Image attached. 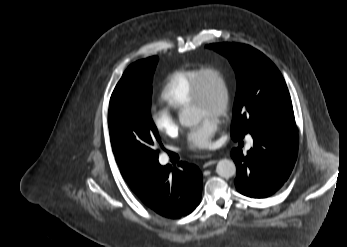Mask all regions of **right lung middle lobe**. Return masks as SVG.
Here are the masks:
<instances>
[{"instance_id": "dd1d6c3e", "label": "right lung middle lobe", "mask_w": 347, "mask_h": 247, "mask_svg": "<svg viewBox=\"0 0 347 247\" xmlns=\"http://www.w3.org/2000/svg\"><path fill=\"white\" fill-rule=\"evenodd\" d=\"M157 62L154 56L127 68L112 93L108 114L113 151L147 169L158 163L156 146L162 145L150 116Z\"/></svg>"}]
</instances>
